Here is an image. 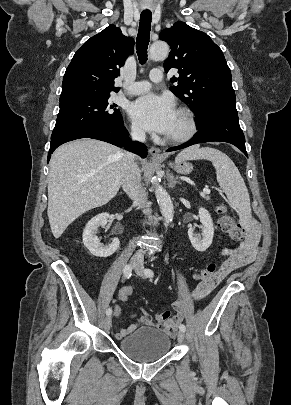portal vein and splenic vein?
<instances>
[{
	"label": "portal vein and splenic vein",
	"mask_w": 291,
	"mask_h": 405,
	"mask_svg": "<svg viewBox=\"0 0 291 405\" xmlns=\"http://www.w3.org/2000/svg\"><path fill=\"white\" fill-rule=\"evenodd\" d=\"M203 195L210 194V189L205 187L202 192Z\"/></svg>",
	"instance_id": "portal-vein-and-splenic-vein-1"
}]
</instances>
